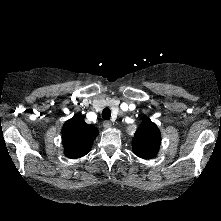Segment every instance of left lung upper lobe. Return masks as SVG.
Here are the masks:
<instances>
[{
  "label": "left lung upper lobe",
  "instance_id": "obj_1",
  "mask_svg": "<svg viewBox=\"0 0 221 221\" xmlns=\"http://www.w3.org/2000/svg\"><path fill=\"white\" fill-rule=\"evenodd\" d=\"M161 142V133L155 123L144 119L132 139L133 152L144 159L156 156Z\"/></svg>",
  "mask_w": 221,
  "mask_h": 221
}]
</instances>
